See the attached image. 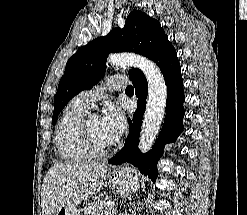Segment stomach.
<instances>
[{"mask_svg":"<svg viewBox=\"0 0 247 215\" xmlns=\"http://www.w3.org/2000/svg\"><path fill=\"white\" fill-rule=\"evenodd\" d=\"M109 181L113 188L122 196H128L137 190L139 186L138 176L133 169H122L112 176ZM55 215H79V210L73 203H66L60 207Z\"/></svg>","mask_w":247,"mask_h":215,"instance_id":"obj_1","label":"stomach"}]
</instances>
